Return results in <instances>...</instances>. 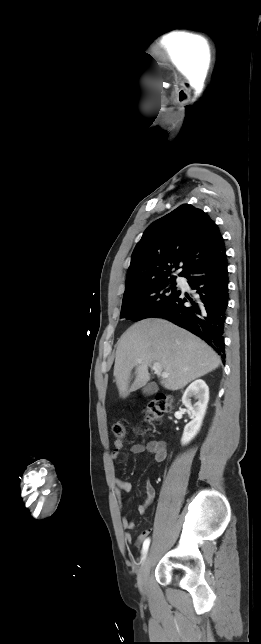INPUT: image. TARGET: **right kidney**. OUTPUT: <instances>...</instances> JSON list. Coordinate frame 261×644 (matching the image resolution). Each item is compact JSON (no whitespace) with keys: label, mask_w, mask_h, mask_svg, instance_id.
Listing matches in <instances>:
<instances>
[{"label":"right kidney","mask_w":261,"mask_h":644,"mask_svg":"<svg viewBox=\"0 0 261 644\" xmlns=\"http://www.w3.org/2000/svg\"><path fill=\"white\" fill-rule=\"evenodd\" d=\"M191 397L198 400L193 405L191 404ZM208 401L209 388L201 379L192 382L185 390L182 397V403L189 410L193 420L184 428L183 436L181 438L182 445L188 444L199 432L206 413Z\"/></svg>","instance_id":"1"}]
</instances>
